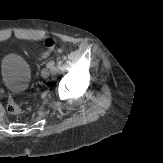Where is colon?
Instances as JSON below:
<instances>
[{
	"instance_id": "5ec220e1",
	"label": "colon",
	"mask_w": 163,
	"mask_h": 163,
	"mask_svg": "<svg viewBox=\"0 0 163 163\" xmlns=\"http://www.w3.org/2000/svg\"><path fill=\"white\" fill-rule=\"evenodd\" d=\"M57 41L53 38H48L45 41V47L47 51L44 53V57H47L49 52L55 48ZM7 111L12 115H19L21 114L22 110L19 104L11 97H9L7 103Z\"/></svg>"
}]
</instances>
